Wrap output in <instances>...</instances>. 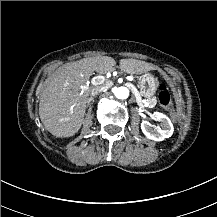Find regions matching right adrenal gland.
Instances as JSON below:
<instances>
[{"label": "right adrenal gland", "mask_w": 217, "mask_h": 217, "mask_svg": "<svg viewBox=\"0 0 217 217\" xmlns=\"http://www.w3.org/2000/svg\"><path fill=\"white\" fill-rule=\"evenodd\" d=\"M91 101H95V97H90L88 99V101H87V108L89 107Z\"/></svg>", "instance_id": "1"}]
</instances>
